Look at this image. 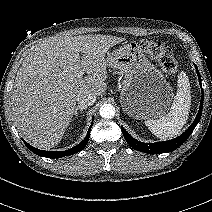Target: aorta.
I'll use <instances>...</instances> for the list:
<instances>
[{"label": "aorta", "mask_w": 212, "mask_h": 212, "mask_svg": "<svg viewBox=\"0 0 212 212\" xmlns=\"http://www.w3.org/2000/svg\"><path fill=\"white\" fill-rule=\"evenodd\" d=\"M100 116L105 119H111L115 116V108L111 104H104L100 107Z\"/></svg>", "instance_id": "aorta-1"}]
</instances>
